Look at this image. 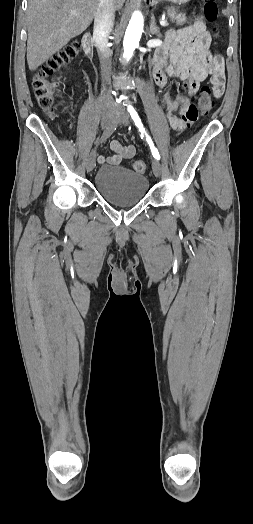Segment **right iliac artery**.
Returning <instances> with one entry per match:
<instances>
[{"mask_svg": "<svg viewBox=\"0 0 253 524\" xmlns=\"http://www.w3.org/2000/svg\"><path fill=\"white\" fill-rule=\"evenodd\" d=\"M117 126H118V121L113 120L112 123H110L109 126L106 127L101 137L97 138V140L95 141V148H97L100 144L105 142L107 138H109L113 134Z\"/></svg>", "mask_w": 253, "mask_h": 524, "instance_id": "82829eb1", "label": "right iliac artery"}]
</instances>
